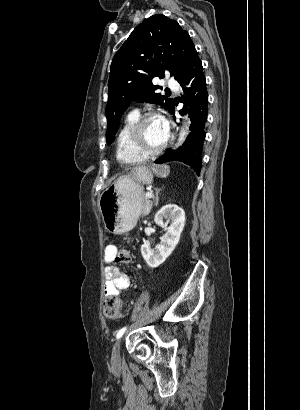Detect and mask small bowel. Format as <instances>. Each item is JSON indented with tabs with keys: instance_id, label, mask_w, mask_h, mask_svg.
<instances>
[{
	"instance_id": "c3829d8e",
	"label": "small bowel",
	"mask_w": 300,
	"mask_h": 410,
	"mask_svg": "<svg viewBox=\"0 0 300 410\" xmlns=\"http://www.w3.org/2000/svg\"><path fill=\"white\" fill-rule=\"evenodd\" d=\"M116 250L117 247L115 244L107 245L104 250V292L106 295L117 294L120 291L127 290L132 286L129 275L120 271L114 265V257Z\"/></svg>"
}]
</instances>
